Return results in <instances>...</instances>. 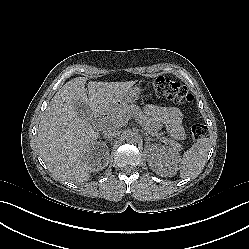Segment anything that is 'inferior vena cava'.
I'll return each mask as SVG.
<instances>
[{
	"label": "inferior vena cava",
	"mask_w": 249,
	"mask_h": 249,
	"mask_svg": "<svg viewBox=\"0 0 249 249\" xmlns=\"http://www.w3.org/2000/svg\"><path fill=\"white\" fill-rule=\"evenodd\" d=\"M118 128L116 125H111L110 127H108V129L105 131L104 136L105 137H113L116 135Z\"/></svg>",
	"instance_id": "1"
}]
</instances>
